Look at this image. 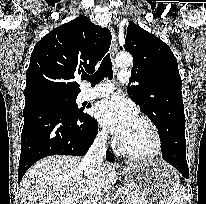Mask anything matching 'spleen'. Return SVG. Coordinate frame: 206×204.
Returning a JSON list of instances; mask_svg holds the SVG:
<instances>
[{
  "instance_id": "1",
  "label": "spleen",
  "mask_w": 206,
  "mask_h": 204,
  "mask_svg": "<svg viewBox=\"0 0 206 204\" xmlns=\"http://www.w3.org/2000/svg\"><path fill=\"white\" fill-rule=\"evenodd\" d=\"M186 197L185 189L182 186L172 190L167 197L168 204H184V199Z\"/></svg>"
}]
</instances>
